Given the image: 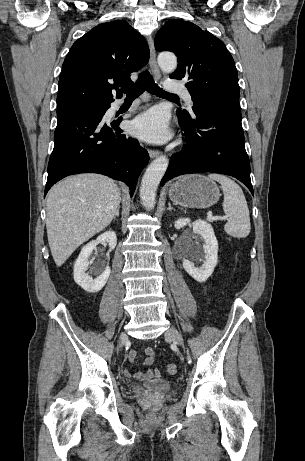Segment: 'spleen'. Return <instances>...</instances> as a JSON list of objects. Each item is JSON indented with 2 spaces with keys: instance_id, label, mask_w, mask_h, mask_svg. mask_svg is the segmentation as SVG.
<instances>
[{
  "instance_id": "obj_1",
  "label": "spleen",
  "mask_w": 305,
  "mask_h": 461,
  "mask_svg": "<svg viewBox=\"0 0 305 461\" xmlns=\"http://www.w3.org/2000/svg\"><path fill=\"white\" fill-rule=\"evenodd\" d=\"M208 178L219 182L224 194L223 211L228 217L225 232L235 238H245L251 230L250 214L240 186L221 174H209Z\"/></svg>"
}]
</instances>
